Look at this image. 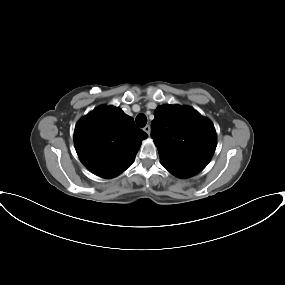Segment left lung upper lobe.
I'll return each mask as SVG.
<instances>
[{
	"mask_svg": "<svg viewBox=\"0 0 285 285\" xmlns=\"http://www.w3.org/2000/svg\"><path fill=\"white\" fill-rule=\"evenodd\" d=\"M154 116L151 137L161 162L202 171L216 149L217 136L212 122L195 109L179 105L159 106Z\"/></svg>",
	"mask_w": 285,
	"mask_h": 285,
	"instance_id": "left-lung-upper-lobe-1",
	"label": "left lung upper lobe"
}]
</instances>
